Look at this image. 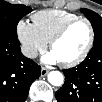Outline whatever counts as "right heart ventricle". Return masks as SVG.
<instances>
[{
	"label": "right heart ventricle",
	"mask_w": 102,
	"mask_h": 102,
	"mask_svg": "<svg viewBox=\"0 0 102 102\" xmlns=\"http://www.w3.org/2000/svg\"><path fill=\"white\" fill-rule=\"evenodd\" d=\"M77 15L65 10L50 9L38 11L32 15V22L38 33L49 42L51 38Z\"/></svg>",
	"instance_id": "obj_1"
}]
</instances>
